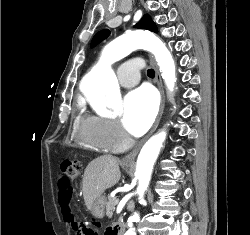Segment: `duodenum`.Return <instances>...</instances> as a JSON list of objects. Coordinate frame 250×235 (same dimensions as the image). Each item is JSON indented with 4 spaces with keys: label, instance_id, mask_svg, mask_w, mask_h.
Segmentation results:
<instances>
[{
    "label": "duodenum",
    "instance_id": "1",
    "mask_svg": "<svg viewBox=\"0 0 250 235\" xmlns=\"http://www.w3.org/2000/svg\"><path fill=\"white\" fill-rule=\"evenodd\" d=\"M123 230H124V226L119 225L111 231L110 235H123Z\"/></svg>",
    "mask_w": 250,
    "mask_h": 235
}]
</instances>
